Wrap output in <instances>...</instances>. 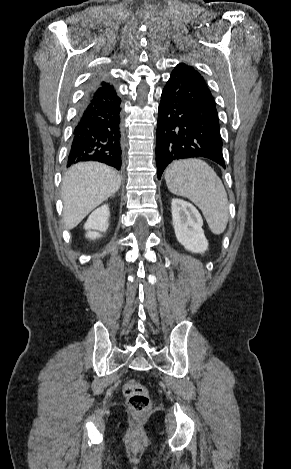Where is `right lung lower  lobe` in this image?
Returning a JSON list of instances; mask_svg holds the SVG:
<instances>
[{
    "label": "right lung lower lobe",
    "mask_w": 291,
    "mask_h": 469,
    "mask_svg": "<svg viewBox=\"0 0 291 469\" xmlns=\"http://www.w3.org/2000/svg\"><path fill=\"white\" fill-rule=\"evenodd\" d=\"M91 82L80 105L73 131L67 166L98 161L121 169V99L109 85Z\"/></svg>",
    "instance_id": "right-lung-lower-lobe-1"
}]
</instances>
